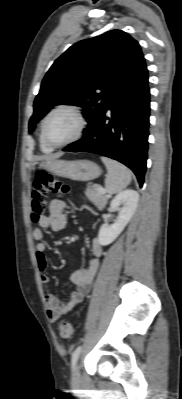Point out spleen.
I'll return each mask as SVG.
<instances>
[{
	"label": "spleen",
	"mask_w": 182,
	"mask_h": 399,
	"mask_svg": "<svg viewBox=\"0 0 182 399\" xmlns=\"http://www.w3.org/2000/svg\"><path fill=\"white\" fill-rule=\"evenodd\" d=\"M101 160L108 171L105 179L107 192L110 194L121 192L131 182V171L125 165L115 160L106 157H101Z\"/></svg>",
	"instance_id": "3e777b00"
}]
</instances>
